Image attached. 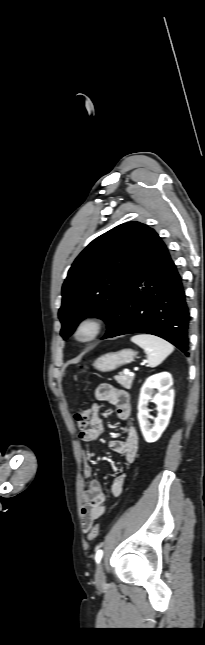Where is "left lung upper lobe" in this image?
<instances>
[{"label":"left lung upper lobe","mask_w":205,"mask_h":645,"mask_svg":"<svg viewBox=\"0 0 205 645\" xmlns=\"http://www.w3.org/2000/svg\"><path fill=\"white\" fill-rule=\"evenodd\" d=\"M149 227L128 222L93 240L76 258L62 287L59 319L66 339L86 317L108 324L104 338L118 327L127 279Z\"/></svg>","instance_id":"left-lung-upper-lobe-1"}]
</instances>
